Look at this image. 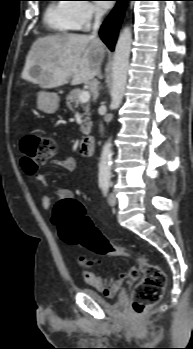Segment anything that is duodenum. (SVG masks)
I'll use <instances>...</instances> for the list:
<instances>
[{"instance_id":"duodenum-1","label":"duodenum","mask_w":193,"mask_h":349,"mask_svg":"<svg viewBox=\"0 0 193 349\" xmlns=\"http://www.w3.org/2000/svg\"><path fill=\"white\" fill-rule=\"evenodd\" d=\"M95 150V139L88 135L85 136L78 148V152L79 154L83 155V156H88L91 155Z\"/></svg>"}]
</instances>
